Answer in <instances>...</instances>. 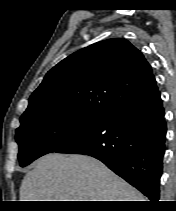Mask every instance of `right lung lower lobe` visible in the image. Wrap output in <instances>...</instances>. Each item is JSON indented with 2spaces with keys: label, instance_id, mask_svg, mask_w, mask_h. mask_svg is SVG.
Listing matches in <instances>:
<instances>
[{
  "label": "right lung lower lobe",
  "instance_id": "1",
  "mask_svg": "<svg viewBox=\"0 0 176 211\" xmlns=\"http://www.w3.org/2000/svg\"><path fill=\"white\" fill-rule=\"evenodd\" d=\"M166 131L157 92L144 102L108 114L98 126L56 152L99 159L155 202L159 198Z\"/></svg>",
  "mask_w": 176,
  "mask_h": 211
}]
</instances>
